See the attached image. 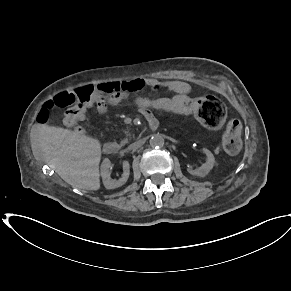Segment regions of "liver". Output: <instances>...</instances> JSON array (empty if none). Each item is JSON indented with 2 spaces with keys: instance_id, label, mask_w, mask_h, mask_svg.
Segmentation results:
<instances>
[{
  "instance_id": "liver-1",
  "label": "liver",
  "mask_w": 291,
  "mask_h": 291,
  "mask_svg": "<svg viewBox=\"0 0 291 291\" xmlns=\"http://www.w3.org/2000/svg\"><path fill=\"white\" fill-rule=\"evenodd\" d=\"M30 137L34 157L47 162L65 182L77 189H100L98 139L45 124H35Z\"/></svg>"
}]
</instances>
